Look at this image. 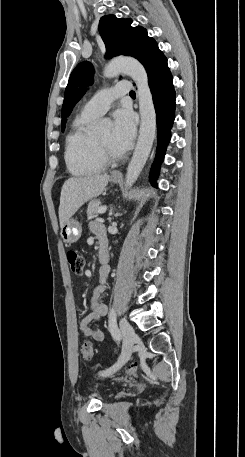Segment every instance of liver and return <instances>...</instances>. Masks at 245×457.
Listing matches in <instances>:
<instances>
[{
	"instance_id": "1",
	"label": "liver",
	"mask_w": 245,
	"mask_h": 457,
	"mask_svg": "<svg viewBox=\"0 0 245 457\" xmlns=\"http://www.w3.org/2000/svg\"><path fill=\"white\" fill-rule=\"evenodd\" d=\"M109 174L96 172L87 176H72L65 180L60 196L59 220L62 229L63 224L75 214L76 210L94 196H99L107 186Z\"/></svg>"
}]
</instances>
